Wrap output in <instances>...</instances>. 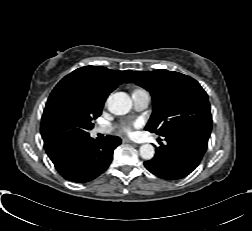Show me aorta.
<instances>
[{
	"mask_svg": "<svg viewBox=\"0 0 252 231\" xmlns=\"http://www.w3.org/2000/svg\"><path fill=\"white\" fill-rule=\"evenodd\" d=\"M132 106L130 97L124 92L111 94L107 99L108 110L115 115L127 114ZM155 150L151 144H143L140 147V156L145 160H151L154 157Z\"/></svg>",
	"mask_w": 252,
	"mask_h": 231,
	"instance_id": "obj_1",
	"label": "aorta"
}]
</instances>
